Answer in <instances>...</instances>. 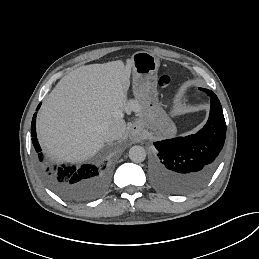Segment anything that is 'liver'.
I'll return each mask as SVG.
<instances>
[{
	"label": "liver",
	"mask_w": 259,
	"mask_h": 259,
	"mask_svg": "<svg viewBox=\"0 0 259 259\" xmlns=\"http://www.w3.org/2000/svg\"><path fill=\"white\" fill-rule=\"evenodd\" d=\"M132 63L121 60L81 66L65 75L44 101L36 121L44 152L63 162L94 156L105 143L104 121L129 113L126 93Z\"/></svg>",
	"instance_id": "liver-1"
}]
</instances>
